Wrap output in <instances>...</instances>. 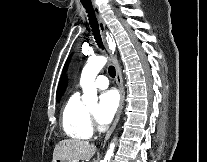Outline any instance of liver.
I'll return each mask as SVG.
<instances>
[{"label": "liver", "mask_w": 207, "mask_h": 162, "mask_svg": "<svg viewBox=\"0 0 207 162\" xmlns=\"http://www.w3.org/2000/svg\"><path fill=\"white\" fill-rule=\"evenodd\" d=\"M96 152V146L88 141L79 139H64L56 144L53 152V161L63 160L79 162L90 160Z\"/></svg>", "instance_id": "obj_1"}]
</instances>
